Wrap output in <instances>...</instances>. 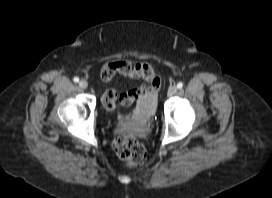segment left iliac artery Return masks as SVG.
Listing matches in <instances>:
<instances>
[{
	"label": "left iliac artery",
	"mask_w": 272,
	"mask_h": 198,
	"mask_svg": "<svg viewBox=\"0 0 272 198\" xmlns=\"http://www.w3.org/2000/svg\"><path fill=\"white\" fill-rule=\"evenodd\" d=\"M183 87V83L182 82H179L178 84H177V88L178 89H181Z\"/></svg>",
	"instance_id": "1"
}]
</instances>
